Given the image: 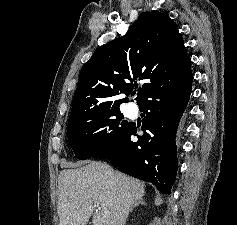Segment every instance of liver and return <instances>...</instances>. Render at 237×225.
Instances as JSON below:
<instances>
[{
  "label": "liver",
  "instance_id": "obj_1",
  "mask_svg": "<svg viewBox=\"0 0 237 225\" xmlns=\"http://www.w3.org/2000/svg\"><path fill=\"white\" fill-rule=\"evenodd\" d=\"M58 188L60 225H87L91 216L93 225H125L131 206L145 194L143 182L100 161L62 170Z\"/></svg>",
  "mask_w": 237,
  "mask_h": 225
}]
</instances>
